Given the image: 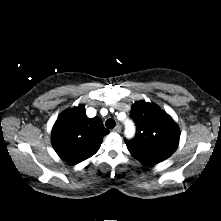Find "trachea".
Segmentation results:
<instances>
[{
  "instance_id": "obj_1",
  "label": "trachea",
  "mask_w": 221,
  "mask_h": 221,
  "mask_svg": "<svg viewBox=\"0 0 221 221\" xmlns=\"http://www.w3.org/2000/svg\"><path fill=\"white\" fill-rule=\"evenodd\" d=\"M116 123L114 121V119H108L106 122H105V126L108 128V129H113L115 127Z\"/></svg>"
}]
</instances>
